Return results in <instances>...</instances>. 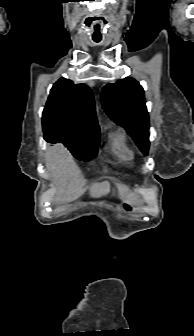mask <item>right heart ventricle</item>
Segmentation results:
<instances>
[{
	"instance_id": "e07e8e85",
	"label": "right heart ventricle",
	"mask_w": 194,
	"mask_h": 336,
	"mask_svg": "<svg viewBox=\"0 0 194 336\" xmlns=\"http://www.w3.org/2000/svg\"><path fill=\"white\" fill-rule=\"evenodd\" d=\"M111 144L113 153L123 161H129L133 157L132 150L128 147L125 133L117 130L111 135Z\"/></svg>"
}]
</instances>
